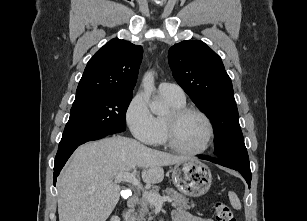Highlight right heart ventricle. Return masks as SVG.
Instances as JSON below:
<instances>
[{"instance_id": "1", "label": "right heart ventricle", "mask_w": 307, "mask_h": 221, "mask_svg": "<svg viewBox=\"0 0 307 221\" xmlns=\"http://www.w3.org/2000/svg\"><path fill=\"white\" fill-rule=\"evenodd\" d=\"M163 98L168 101V103L173 107V108H178V107H183L185 106V101H176L167 97ZM156 119V137L154 144L157 145H162L165 143V127H164V119L165 117L158 116L155 118Z\"/></svg>"}]
</instances>
